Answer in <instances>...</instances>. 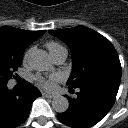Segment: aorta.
Returning a JSON list of instances; mask_svg holds the SVG:
<instances>
[{
	"mask_svg": "<svg viewBox=\"0 0 128 128\" xmlns=\"http://www.w3.org/2000/svg\"><path fill=\"white\" fill-rule=\"evenodd\" d=\"M29 63L31 67L37 71H50L53 69V63L48 53L43 50L36 51L30 56ZM69 107L68 99L62 95H57L53 98L52 108L58 112L63 113Z\"/></svg>",
	"mask_w": 128,
	"mask_h": 128,
	"instance_id": "1",
	"label": "aorta"
}]
</instances>
